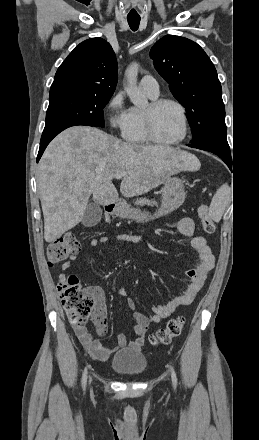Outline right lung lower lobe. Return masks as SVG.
<instances>
[{"label": "right lung lower lobe", "instance_id": "98d812e1", "mask_svg": "<svg viewBox=\"0 0 259 440\" xmlns=\"http://www.w3.org/2000/svg\"><path fill=\"white\" fill-rule=\"evenodd\" d=\"M76 125H84V124L68 123V124H64L62 126L56 127L54 129H51L49 131H43L42 137H41V141H40V148H39V152H38V156H37V162L41 158V156H42L45 148L47 147V145L50 143V141L56 135H58L61 131L65 130L66 128H69L71 126H76Z\"/></svg>", "mask_w": 259, "mask_h": 440}]
</instances>
